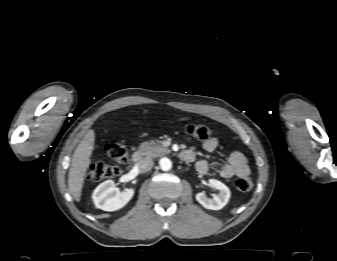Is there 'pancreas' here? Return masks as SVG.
Masks as SVG:
<instances>
[{"instance_id": "obj_1", "label": "pancreas", "mask_w": 337, "mask_h": 261, "mask_svg": "<svg viewBox=\"0 0 337 261\" xmlns=\"http://www.w3.org/2000/svg\"><path fill=\"white\" fill-rule=\"evenodd\" d=\"M139 152L146 157H158L170 153V150L155 142H143Z\"/></svg>"}]
</instances>
